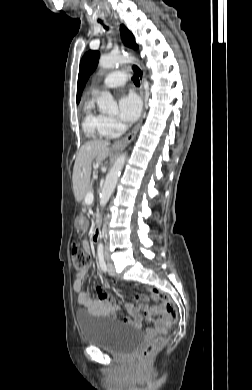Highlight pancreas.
Masks as SVG:
<instances>
[{"label":"pancreas","mask_w":252,"mask_h":390,"mask_svg":"<svg viewBox=\"0 0 252 390\" xmlns=\"http://www.w3.org/2000/svg\"><path fill=\"white\" fill-rule=\"evenodd\" d=\"M80 205L83 206V207H82V210H83V211H86V210H87V207L85 206V202H84V201H81V202H80Z\"/></svg>","instance_id":"cf45deb5"}]
</instances>
